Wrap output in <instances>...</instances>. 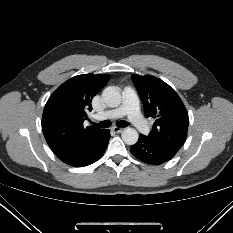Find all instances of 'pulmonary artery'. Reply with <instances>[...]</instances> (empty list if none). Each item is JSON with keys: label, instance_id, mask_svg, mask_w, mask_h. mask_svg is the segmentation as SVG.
<instances>
[{"label": "pulmonary artery", "instance_id": "1", "mask_svg": "<svg viewBox=\"0 0 233 233\" xmlns=\"http://www.w3.org/2000/svg\"><path fill=\"white\" fill-rule=\"evenodd\" d=\"M127 116L129 121L143 134L149 132V126L140 114L139 98L134 88L127 87L123 93V103L115 109L99 113V120L118 119Z\"/></svg>", "mask_w": 233, "mask_h": 233}]
</instances>
